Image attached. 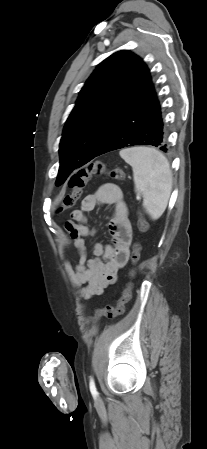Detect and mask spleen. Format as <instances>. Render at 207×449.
I'll return each instance as SVG.
<instances>
[{
	"label": "spleen",
	"instance_id": "3e777b00",
	"mask_svg": "<svg viewBox=\"0 0 207 449\" xmlns=\"http://www.w3.org/2000/svg\"><path fill=\"white\" fill-rule=\"evenodd\" d=\"M131 165L135 191L143 196V206L154 220L165 211L172 190V172L168 159L150 147H131L120 151Z\"/></svg>",
	"mask_w": 207,
	"mask_h": 449
}]
</instances>
